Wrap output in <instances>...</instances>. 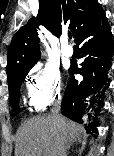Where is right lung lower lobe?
<instances>
[{"label":"right lung lower lobe","mask_w":114,"mask_h":156,"mask_svg":"<svg viewBox=\"0 0 114 156\" xmlns=\"http://www.w3.org/2000/svg\"><path fill=\"white\" fill-rule=\"evenodd\" d=\"M75 43L81 46V57L85 60L81 68L72 64L69 69L71 78L61 111L73 121L85 124L87 133L96 137L99 125L96 119L104 105V92L109 86L107 73L114 53L111 28L103 9L77 34ZM74 73L81 74L83 80H76ZM88 96L90 100H86Z\"/></svg>","instance_id":"right-lung-lower-lobe-1"}]
</instances>
